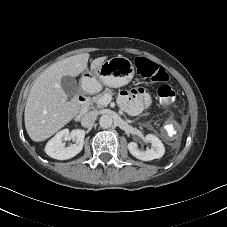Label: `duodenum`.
<instances>
[{
	"instance_id": "obj_1",
	"label": "duodenum",
	"mask_w": 227,
	"mask_h": 227,
	"mask_svg": "<svg viewBox=\"0 0 227 227\" xmlns=\"http://www.w3.org/2000/svg\"><path fill=\"white\" fill-rule=\"evenodd\" d=\"M76 102L80 104L82 112L87 111L90 106V103L87 101L84 93H79L77 95Z\"/></svg>"
}]
</instances>
